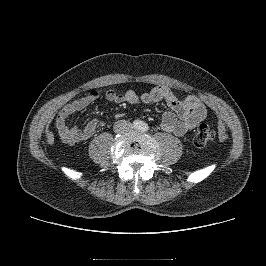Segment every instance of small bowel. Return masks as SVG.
<instances>
[{
	"mask_svg": "<svg viewBox=\"0 0 266 266\" xmlns=\"http://www.w3.org/2000/svg\"><path fill=\"white\" fill-rule=\"evenodd\" d=\"M101 97L98 90H91L82 97L66 104L58 113L55 126L63 142L73 145L89 140L102 123L97 117L91 118L83 127L70 125L68 119L76 112L86 109ZM105 98L117 104L122 103H155L165 101L169 110L161 116V128L176 136H184L193 130L207 116L204 104L194 95L180 97L166 86H157L148 92L138 94L134 91L118 92L107 90ZM122 113H116V118H121ZM108 119V118H107Z\"/></svg>",
	"mask_w": 266,
	"mask_h": 266,
	"instance_id": "1",
	"label": "small bowel"
}]
</instances>
